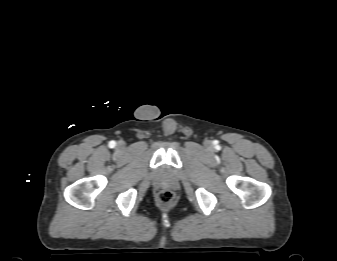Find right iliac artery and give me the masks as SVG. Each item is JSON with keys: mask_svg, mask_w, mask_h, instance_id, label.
<instances>
[{"mask_svg": "<svg viewBox=\"0 0 337 261\" xmlns=\"http://www.w3.org/2000/svg\"><path fill=\"white\" fill-rule=\"evenodd\" d=\"M115 145H116L115 141H110L109 142V147L113 148V147H115Z\"/></svg>", "mask_w": 337, "mask_h": 261, "instance_id": "obj_1", "label": "right iliac artery"}]
</instances>
